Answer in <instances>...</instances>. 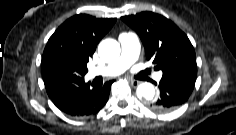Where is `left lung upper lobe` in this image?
Instances as JSON below:
<instances>
[{
	"mask_svg": "<svg viewBox=\"0 0 236 135\" xmlns=\"http://www.w3.org/2000/svg\"><path fill=\"white\" fill-rule=\"evenodd\" d=\"M121 19L141 38L148 60L163 74L176 71H197L194 48L186 36L166 17L141 12Z\"/></svg>",
	"mask_w": 236,
	"mask_h": 135,
	"instance_id": "5c2ea615",
	"label": "left lung upper lobe"
}]
</instances>
